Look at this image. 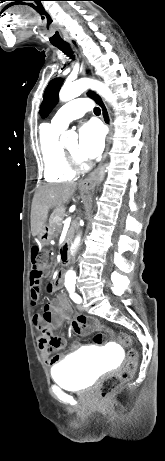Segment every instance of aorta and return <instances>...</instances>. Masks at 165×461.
<instances>
[{
  "instance_id": "1",
  "label": "aorta",
  "mask_w": 165,
  "mask_h": 461,
  "mask_svg": "<svg viewBox=\"0 0 165 461\" xmlns=\"http://www.w3.org/2000/svg\"><path fill=\"white\" fill-rule=\"evenodd\" d=\"M87 89L96 90L108 102L115 104L114 97L110 89L106 85H104L100 81H96V80L88 79V78H83V79L74 81L72 83L64 84V86L61 88L59 92V99L62 102L70 101L80 96ZM71 137H76V135L73 132H66L65 134L62 135L61 142H63V144H68L69 142L68 139ZM79 242H80V238L77 237L71 247L72 254L75 252V249L78 246ZM65 280L70 281V282H75L76 281L75 271L73 270L67 271L65 275Z\"/></svg>"
}]
</instances>
